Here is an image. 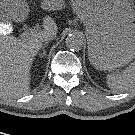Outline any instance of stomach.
Masks as SVG:
<instances>
[{
    "mask_svg": "<svg viewBox=\"0 0 135 135\" xmlns=\"http://www.w3.org/2000/svg\"><path fill=\"white\" fill-rule=\"evenodd\" d=\"M3 3L14 16L28 12L26 0ZM47 3L53 9L62 1ZM69 4L85 25L89 60L96 69L111 71L135 58V11L128 0H70Z\"/></svg>",
    "mask_w": 135,
    "mask_h": 135,
    "instance_id": "stomach-1",
    "label": "stomach"
}]
</instances>
